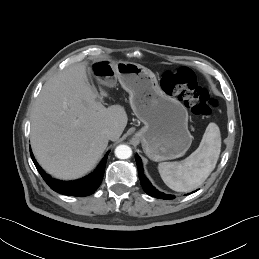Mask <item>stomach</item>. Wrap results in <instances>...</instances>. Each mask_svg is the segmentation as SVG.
I'll return each mask as SVG.
<instances>
[{
    "mask_svg": "<svg viewBox=\"0 0 259 259\" xmlns=\"http://www.w3.org/2000/svg\"><path fill=\"white\" fill-rule=\"evenodd\" d=\"M89 72L107 86L115 85L118 79L129 93L131 108L144 124L135 136L151 160H172L186 153L192 143L188 112L180 101L162 91L150 69L133 62L101 59L91 64Z\"/></svg>",
    "mask_w": 259,
    "mask_h": 259,
    "instance_id": "obj_1",
    "label": "stomach"
}]
</instances>
